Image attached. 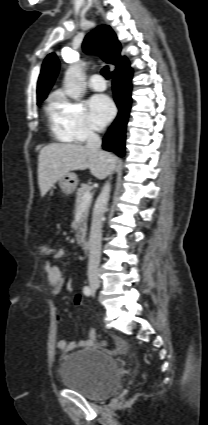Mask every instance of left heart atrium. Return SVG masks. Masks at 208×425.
Returning a JSON list of instances; mask_svg holds the SVG:
<instances>
[{"label": "left heart atrium", "instance_id": "1", "mask_svg": "<svg viewBox=\"0 0 208 425\" xmlns=\"http://www.w3.org/2000/svg\"><path fill=\"white\" fill-rule=\"evenodd\" d=\"M115 107L105 95H95L89 101V116L97 129H102L113 118Z\"/></svg>", "mask_w": 208, "mask_h": 425}]
</instances>
